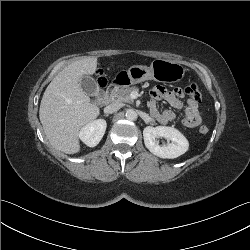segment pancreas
I'll return each instance as SVG.
<instances>
[{"label":"pancreas","mask_w":250,"mask_h":250,"mask_svg":"<svg viewBox=\"0 0 250 250\" xmlns=\"http://www.w3.org/2000/svg\"><path fill=\"white\" fill-rule=\"evenodd\" d=\"M138 91V88L135 86L131 87H121L115 89L111 95L112 98L120 103H133V99L130 97L131 92Z\"/></svg>","instance_id":"cf45deb5"}]
</instances>
